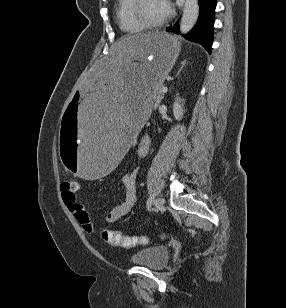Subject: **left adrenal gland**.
Masks as SVG:
<instances>
[{"instance_id":"1","label":"left adrenal gland","mask_w":286,"mask_h":308,"mask_svg":"<svg viewBox=\"0 0 286 308\" xmlns=\"http://www.w3.org/2000/svg\"><path fill=\"white\" fill-rule=\"evenodd\" d=\"M185 64H186V61H183V62L181 63V67H180V69H179L177 75L181 72V70H182V68L185 66Z\"/></svg>"}]
</instances>
